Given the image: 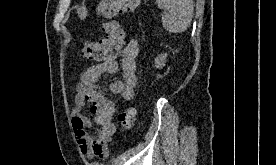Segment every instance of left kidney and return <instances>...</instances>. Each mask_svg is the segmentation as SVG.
Here are the masks:
<instances>
[{
  "mask_svg": "<svg viewBox=\"0 0 276 165\" xmlns=\"http://www.w3.org/2000/svg\"><path fill=\"white\" fill-rule=\"evenodd\" d=\"M167 54H160L155 58V67L158 69H162L166 64Z\"/></svg>",
  "mask_w": 276,
  "mask_h": 165,
  "instance_id": "5707ae66",
  "label": "left kidney"
}]
</instances>
